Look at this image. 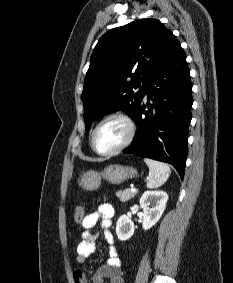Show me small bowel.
<instances>
[{
    "mask_svg": "<svg viewBox=\"0 0 233 283\" xmlns=\"http://www.w3.org/2000/svg\"><path fill=\"white\" fill-rule=\"evenodd\" d=\"M114 216V208L108 203H103L98 208L85 216L83 221V233L77 245V261L83 263L95 249L96 235L91 229L100 222L103 229L104 240L108 246L109 257L107 263L101 266L94 275V283H104L108 280L110 283H124L121 271V260L115 247L114 236L110 230L112 218ZM75 283H86L85 274L77 270L74 272Z\"/></svg>",
    "mask_w": 233,
    "mask_h": 283,
    "instance_id": "c3829d8e",
    "label": "small bowel"
}]
</instances>
